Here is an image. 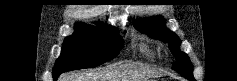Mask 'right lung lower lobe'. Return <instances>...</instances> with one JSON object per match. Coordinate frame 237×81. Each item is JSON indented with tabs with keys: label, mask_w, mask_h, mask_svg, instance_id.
I'll return each instance as SVG.
<instances>
[{
	"label": "right lung lower lobe",
	"mask_w": 237,
	"mask_h": 81,
	"mask_svg": "<svg viewBox=\"0 0 237 81\" xmlns=\"http://www.w3.org/2000/svg\"><path fill=\"white\" fill-rule=\"evenodd\" d=\"M58 76H59V75H54V76H53V79H54V80H57Z\"/></svg>",
	"instance_id": "right-lung-lower-lobe-1"
}]
</instances>
